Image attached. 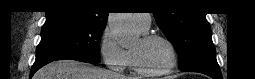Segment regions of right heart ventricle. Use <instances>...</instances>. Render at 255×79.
<instances>
[{
    "label": "right heart ventricle",
    "instance_id": "obj_1",
    "mask_svg": "<svg viewBox=\"0 0 255 79\" xmlns=\"http://www.w3.org/2000/svg\"><path fill=\"white\" fill-rule=\"evenodd\" d=\"M128 58H129L128 66H132V57L130 52H128Z\"/></svg>",
    "mask_w": 255,
    "mask_h": 79
}]
</instances>
